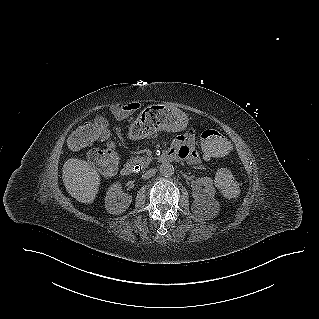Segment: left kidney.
I'll list each match as a JSON object with an SVG mask.
<instances>
[{
	"label": "left kidney",
	"instance_id": "1",
	"mask_svg": "<svg viewBox=\"0 0 319 319\" xmlns=\"http://www.w3.org/2000/svg\"><path fill=\"white\" fill-rule=\"evenodd\" d=\"M201 186H204V188L200 189ZM192 195L195 199V204L200 206L205 212L214 207L215 213H218L219 204L214 199L215 188L210 177L198 178L194 183Z\"/></svg>",
	"mask_w": 319,
	"mask_h": 319
}]
</instances>
